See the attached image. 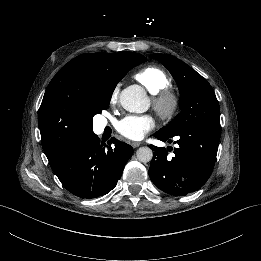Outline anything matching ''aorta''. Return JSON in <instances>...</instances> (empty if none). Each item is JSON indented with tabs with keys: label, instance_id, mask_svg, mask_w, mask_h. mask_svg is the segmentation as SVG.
Returning a JSON list of instances; mask_svg holds the SVG:
<instances>
[{
	"label": "aorta",
	"instance_id": "obj_1",
	"mask_svg": "<svg viewBox=\"0 0 261 261\" xmlns=\"http://www.w3.org/2000/svg\"><path fill=\"white\" fill-rule=\"evenodd\" d=\"M120 102L127 111L134 113H143L150 106V100L145 91L142 89L136 91L134 86H129L121 92ZM136 156L138 161L148 163L153 158V152L149 147H140L136 152Z\"/></svg>",
	"mask_w": 261,
	"mask_h": 261
}]
</instances>
